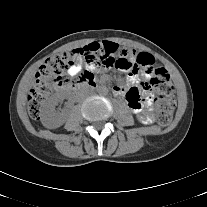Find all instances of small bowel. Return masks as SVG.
<instances>
[{
  "label": "small bowel",
  "mask_w": 207,
  "mask_h": 207,
  "mask_svg": "<svg viewBox=\"0 0 207 207\" xmlns=\"http://www.w3.org/2000/svg\"><path fill=\"white\" fill-rule=\"evenodd\" d=\"M80 71L81 66L78 64H72L68 68L70 76H77ZM127 71L125 84L114 86L113 93L125 97L132 112L137 114L142 122L151 123L154 119L153 99L147 89V81L140 78L138 70ZM150 73L151 71H143L142 75L146 78Z\"/></svg>",
  "instance_id": "1"
}]
</instances>
